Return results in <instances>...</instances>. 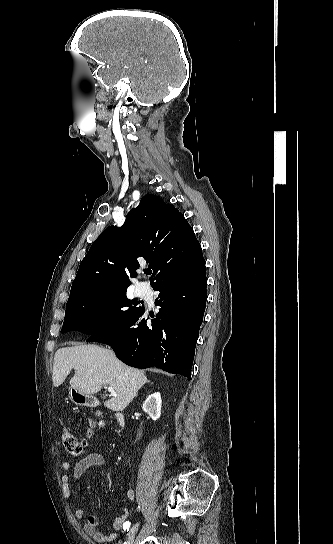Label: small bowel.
I'll return each mask as SVG.
<instances>
[{"mask_svg": "<svg viewBox=\"0 0 333 544\" xmlns=\"http://www.w3.org/2000/svg\"><path fill=\"white\" fill-rule=\"evenodd\" d=\"M104 463V459L99 453H90L84 458L80 459L74 466L69 462L65 461L61 465L62 469V494L65 499L71 497V483L78 478H80L89 468L101 466ZM126 497L128 500H133L135 497V491L133 489H128L126 491ZM76 519L80 520L85 518L83 528L85 532L92 536L94 540L98 542H109L114 540L117 537V531H119L123 525L127 522L130 516V509L125 508L122 514L115 518L112 529L113 532L105 534L98 529L99 518L96 515H88L85 517V511L81 508H78L74 512Z\"/></svg>", "mask_w": 333, "mask_h": 544, "instance_id": "c3829d8e", "label": "small bowel"}]
</instances>
